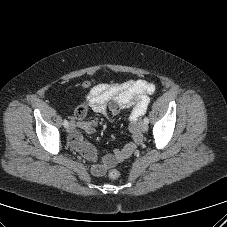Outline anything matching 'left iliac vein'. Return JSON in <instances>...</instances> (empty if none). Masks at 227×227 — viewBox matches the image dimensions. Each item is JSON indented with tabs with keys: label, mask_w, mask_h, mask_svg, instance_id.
Instances as JSON below:
<instances>
[{
	"label": "left iliac vein",
	"mask_w": 227,
	"mask_h": 227,
	"mask_svg": "<svg viewBox=\"0 0 227 227\" xmlns=\"http://www.w3.org/2000/svg\"><path fill=\"white\" fill-rule=\"evenodd\" d=\"M139 128L142 132H146L148 130V125L144 122H140Z\"/></svg>",
	"instance_id": "left-iliac-vein-1"
}]
</instances>
